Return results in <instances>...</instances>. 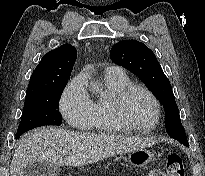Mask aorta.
<instances>
[{"label":"aorta","instance_id":"aorta-1","mask_svg":"<svg viewBox=\"0 0 205 176\" xmlns=\"http://www.w3.org/2000/svg\"><path fill=\"white\" fill-rule=\"evenodd\" d=\"M89 70V68H87ZM88 79H89V88L91 90H98V85L94 82V80H92V78L90 77V73L88 75Z\"/></svg>","mask_w":205,"mask_h":176}]
</instances>
